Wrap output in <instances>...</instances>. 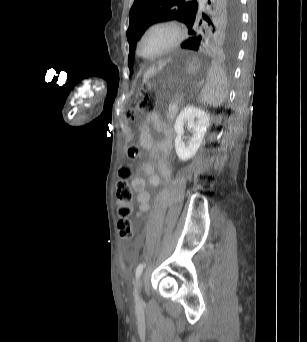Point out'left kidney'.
<instances>
[{
  "instance_id": "1",
  "label": "left kidney",
  "mask_w": 307,
  "mask_h": 342,
  "mask_svg": "<svg viewBox=\"0 0 307 342\" xmlns=\"http://www.w3.org/2000/svg\"><path fill=\"white\" fill-rule=\"evenodd\" d=\"M210 116L204 110L200 108H194V106H186L182 112H180L174 126V130L177 134L175 138V150L179 160L187 162L195 156L202 140L205 136V132L209 126ZM187 124V130H191L192 136L189 138V142L185 144L183 142V134L185 132L184 126Z\"/></svg>"
}]
</instances>
